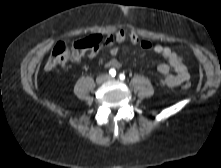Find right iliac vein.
Listing matches in <instances>:
<instances>
[{
	"mask_svg": "<svg viewBox=\"0 0 221 168\" xmlns=\"http://www.w3.org/2000/svg\"><path fill=\"white\" fill-rule=\"evenodd\" d=\"M107 79H108V76H107V75H100V76L97 77L96 83H97V84H102V83H104Z\"/></svg>",
	"mask_w": 221,
	"mask_h": 168,
	"instance_id": "right-iliac-vein-1",
	"label": "right iliac vein"
}]
</instances>
